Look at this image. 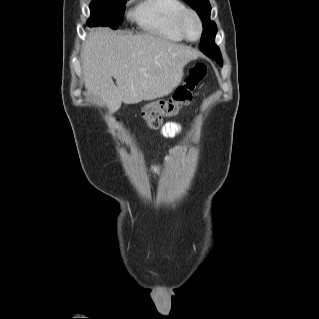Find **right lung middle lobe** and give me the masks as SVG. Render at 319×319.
I'll list each match as a JSON object with an SVG mask.
<instances>
[{
  "label": "right lung middle lobe",
  "instance_id": "1",
  "mask_svg": "<svg viewBox=\"0 0 319 319\" xmlns=\"http://www.w3.org/2000/svg\"><path fill=\"white\" fill-rule=\"evenodd\" d=\"M127 0H93L90 4L91 17L87 21L90 27L108 26L117 29L123 19Z\"/></svg>",
  "mask_w": 319,
  "mask_h": 319
}]
</instances>
